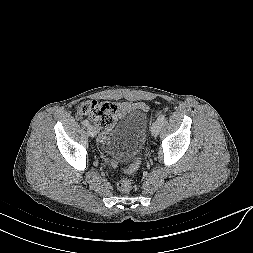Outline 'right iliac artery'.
I'll return each mask as SVG.
<instances>
[{
	"instance_id": "right-iliac-artery-1",
	"label": "right iliac artery",
	"mask_w": 253,
	"mask_h": 253,
	"mask_svg": "<svg viewBox=\"0 0 253 253\" xmlns=\"http://www.w3.org/2000/svg\"><path fill=\"white\" fill-rule=\"evenodd\" d=\"M82 124H83L84 126H89L90 123H89L88 120H83Z\"/></svg>"
}]
</instances>
